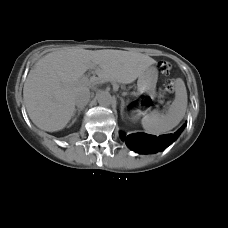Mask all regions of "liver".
<instances>
[{"label": "liver", "instance_id": "liver-1", "mask_svg": "<svg viewBox=\"0 0 228 228\" xmlns=\"http://www.w3.org/2000/svg\"><path fill=\"white\" fill-rule=\"evenodd\" d=\"M155 60L141 53L121 50L68 49L49 53L30 70L23 99L32 122L40 129L55 132L66 127L74 115V95L94 87L80 80L94 69L103 82H134Z\"/></svg>", "mask_w": 228, "mask_h": 228}]
</instances>
